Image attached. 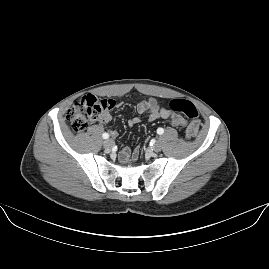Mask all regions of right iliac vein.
<instances>
[{"mask_svg":"<svg viewBox=\"0 0 269 269\" xmlns=\"http://www.w3.org/2000/svg\"><path fill=\"white\" fill-rule=\"evenodd\" d=\"M114 145V141L112 139H107L104 143L103 146L106 149H111Z\"/></svg>","mask_w":269,"mask_h":269,"instance_id":"1","label":"right iliac vein"}]
</instances>
